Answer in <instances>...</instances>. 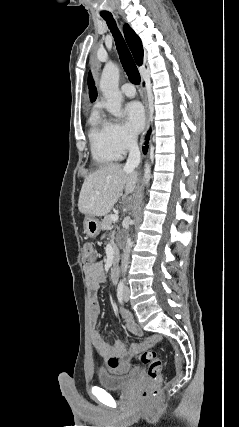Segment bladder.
<instances>
[{
  "instance_id": "31cf9c89",
  "label": "bladder",
  "mask_w": 239,
  "mask_h": 427,
  "mask_svg": "<svg viewBox=\"0 0 239 427\" xmlns=\"http://www.w3.org/2000/svg\"><path fill=\"white\" fill-rule=\"evenodd\" d=\"M139 373L138 368H132L125 374H114L100 370L97 374V380L99 385L106 390H123L137 379Z\"/></svg>"
}]
</instances>
